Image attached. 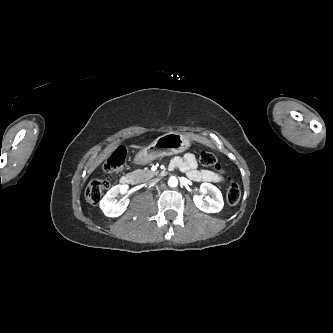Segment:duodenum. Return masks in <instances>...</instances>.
<instances>
[{
  "label": "duodenum",
  "instance_id": "obj_1",
  "mask_svg": "<svg viewBox=\"0 0 333 333\" xmlns=\"http://www.w3.org/2000/svg\"><path fill=\"white\" fill-rule=\"evenodd\" d=\"M120 182L124 185H132L135 183V176L131 173H128L121 177Z\"/></svg>",
  "mask_w": 333,
  "mask_h": 333
}]
</instances>
